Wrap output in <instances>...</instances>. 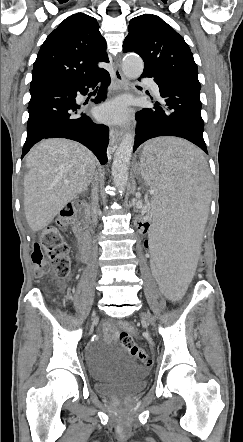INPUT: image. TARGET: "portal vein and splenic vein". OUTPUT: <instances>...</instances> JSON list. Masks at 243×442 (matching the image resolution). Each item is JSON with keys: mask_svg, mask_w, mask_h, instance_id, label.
Segmentation results:
<instances>
[{"mask_svg": "<svg viewBox=\"0 0 243 442\" xmlns=\"http://www.w3.org/2000/svg\"><path fill=\"white\" fill-rule=\"evenodd\" d=\"M65 183H68V181H67V180H65ZM150 193H154V191L152 190V191H150Z\"/></svg>", "mask_w": 243, "mask_h": 442, "instance_id": "obj_1", "label": "portal vein and splenic vein"}]
</instances>
